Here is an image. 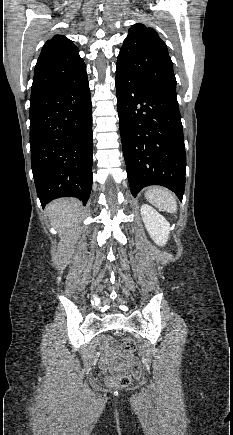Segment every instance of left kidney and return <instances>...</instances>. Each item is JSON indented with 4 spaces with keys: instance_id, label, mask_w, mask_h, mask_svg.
<instances>
[{
    "instance_id": "obj_1",
    "label": "left kidney",
    "mask_w": 233,
    "mask_h": 435,
    "mask_svg": "<svg viewBox=\"0 0 233 435\" xmlns=\"http://www.w3.org/2000/svg\"><path fill=\"white\" fill-rule=\"evenodd\" d=\"M141 215L153 241L159 246L165 245L170 234L169 222L148 204L141 206Z\"/></svg>"
}]
</instances>
